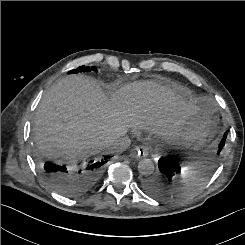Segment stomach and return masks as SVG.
<instances>
[{
	"mask_svg": "<svg viewBox=\"0 0 245 245\" xmlns=\"http://www.w3.org/2000/svg\"><path fill=\"white\" fill-rule=\"evenodd\" d=\"M218 116L212 102L205 100L199 109L180 125L174 136L178 142L198 149L207 145L218 131Z\"/></svg>",
	"mask_w": 245,
	"mask_h": 245,
	"instance_id": "1",
	"label": "stomach"
}]
</instances>
